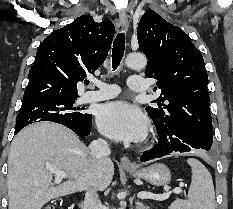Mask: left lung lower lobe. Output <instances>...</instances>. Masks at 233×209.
<instances>
[{
  "instance_id": "left-lung-lower-lobe-1",
  "label": "left lung lower lobe",
  "mask_w": 233,
  "mask_h": 209,
  "mask_svg": "<svg viewBox=\"0 0 233 209\" xmlns=\"http://www.w3.org/2000/svg\"><path fill=\"white\" fill-rule=\"evenodd\" d=\"M159 138L158 144L141 155L142 162L170 155L174 152H191L193 149L209 151L213 143V135L202 132L186 124H155Z\"/></svg>"
}]
</instances>
